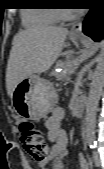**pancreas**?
I'll return each instance as SVG.
<instances>
[{"label": "pancreas", "instance_id": "pancreas-1", "mask_svg": "<svg viewBox=\"0 0 104 169\" xmlns=\"http://www.w3.org/2000/svg\"><path fill=\"white\" fill-rule=\"evenodd\" d=\"M74 65L71 61H66L63 64V71L61 73H57L56 74V78L58 80H63L64 78L68 77V75H70L71 73L74 72Z\"/></svg>", "mask_w": 104, "mask_h": 169}]
</instances>
